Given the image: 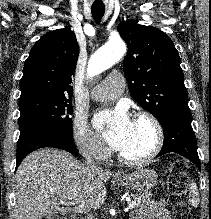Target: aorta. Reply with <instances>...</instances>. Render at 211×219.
Returning <instances> with one entry per match:
<instances>
[{"mask_svg": "<svg viewBox=\"0 0 211 219\" xmlns=\"http://www.w3.org/2000/svg\"><path fill=\"white\" fill-rule=\"evenodd\" d=\"M125 52L126 46L120 39L109 41L91 57L88 65V75H97L110 68L124 56Z\"/></svg>", "mask_w": 211, "mask_h": 219, "instance_id": "1", "label": "aorta"}]
</instances>
